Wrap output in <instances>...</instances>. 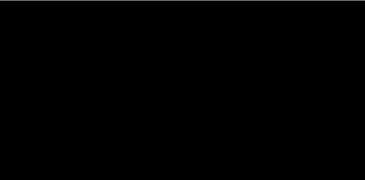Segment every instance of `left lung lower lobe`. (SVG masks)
I'll use <instances>...</instances> for the list:
<instances>
[{
  "label": "left lung lower lobe",
  "instance_id": "left-lung-lower-lobe-1",
  "mask_svg": "<svg viewBox=\"0 0 365 180\" xmlns=\"http://www.w3.org/2000/svg\"><path fill=\"white\" fill-rule=\"evenodd\" d=\"M270 119L271 103L266 94L232 103L215 122H205L206 132L200 139V146L219 163L239 165L261 147Z\"/></svg>",
  "mask_w": 365,
  "mask_h": 180
}]
</instances>
